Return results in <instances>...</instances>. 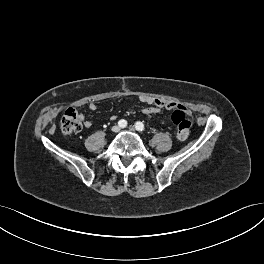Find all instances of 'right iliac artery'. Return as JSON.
<instances>
[{"mask_svg": "<svg viewBox=\"0 0 264 264\" xmlns=\"http://www.w3.org/2000/svg\"><path fill=\"white\" fill-rule=\"evenodd\" d=\"M118 126L121 128H125L127 126V121L124 119L119 120Z\"/></svg>", "mask_w": 264, "mask_h": 264, "instance_id": "82829eb1", "label": "right iliac artery"}]
</instances>
